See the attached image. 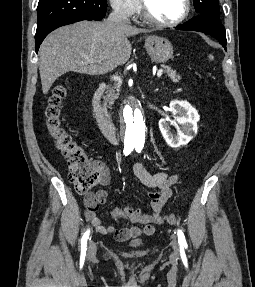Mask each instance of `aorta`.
<instances>
[{
    "label": "aorta",
    "mask_w": 255,
    "mask_h": 287,
    "mask_svg": "<svg viewBox=\"0 0 255 287\" xmlns=\"http://www.w3.org/2000/svg\"><path fill=\"white\" fill-rule=\"evenodd\" d=\"M123 132L126 145L144 146L146 125L143 111L137 103L131 102L123 110Z\"/></svg>",
    "instance_id": "aorta-1"
}]
</instances>
